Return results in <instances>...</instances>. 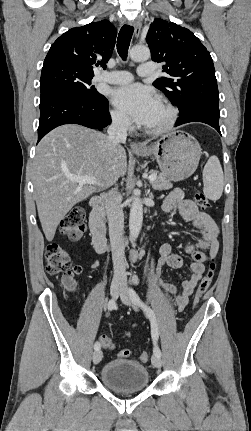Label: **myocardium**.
<instances>
[{
  "label": "myocardium",
  "mask_w": 251,
  "mask_h": 431,
  "mask_svg": "<svg viewBox=\"0 0 251 431\" xmlns=\"http://www.w3.org/2000/svg\"><path fill=\"white\" fill-rule=\"evenodd\" d=\"M159 103L167 110L168 115L166 120L157 127L144 126L145 133L149 135L156 136L169 132L178 120V109L169 100L161 98Z\"/></svg>",
  "instance_id": "myocardium-1"
}]
</instances>
